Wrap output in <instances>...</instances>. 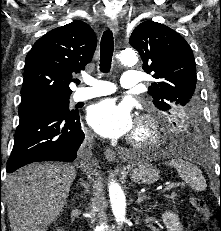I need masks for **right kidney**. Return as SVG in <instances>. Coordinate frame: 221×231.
<instances>
[{
  "instance_id": "right-kidney-1",
  "label": "right kidney",
  "mask_w": 221,
  "mask_h": 231,
  "mask_svg": "<svg viewBox=\"0 0 221 231\" xmlns=\"http://www.w3.org/2000/svg\"><path fill=\"white\" fill-rule=\"evenodd\" d=\"M57 231H62L61 229H58Z\"/></svg>"
}]
</instances>
